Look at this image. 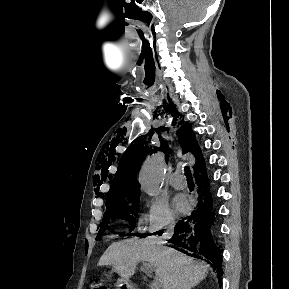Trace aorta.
<instances>
[{
	"label": "aorta",
	"mask_w": 289,
	"mask_h": 289,
	"mask_svg": "<svg viewBox=\"0 0 289 289\" xmlns=\"http://www.w3.org/2000/svg\"><path fill=\"white\" fill-rule=\"evenodd\" d=\"M164 170L165 160L162 153L158 152L147 158L139 174L141 190L152 196L157 195L162 188Z\"/></svg>",
	"instance_id": "aorta-1"
}]
</instances>
